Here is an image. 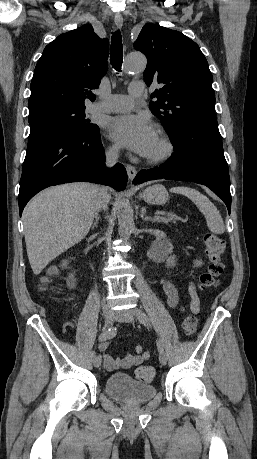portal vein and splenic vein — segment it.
I'll use <instances>...</instances> for the list:
<instances>
[{
    "instance_id": "18ae733b",
    "label": "portal vein and splenic vein",
    "mask_w": 257,
    "mask_h": 459,
    "mask_svg": "<svg viewBox=\"0 0 257 459\" xmlns=\"http://www.w3.org/2000/svg\"><path fill=\"white\" fill-rule=\"evenodd\" d=\"M160 214H163V213H160ZM155 220H162V218L156 215Z\"/></svg>"
}]
</instances>
